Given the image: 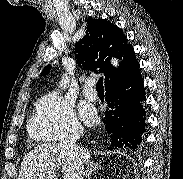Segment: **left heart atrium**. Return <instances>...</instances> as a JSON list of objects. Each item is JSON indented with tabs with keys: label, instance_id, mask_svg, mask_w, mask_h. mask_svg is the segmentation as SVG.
I'll return each instance as SVG.
<instances>
[{
	"label": "left heart atrium",
	"instance_id": "1",
	"mask_svg": "<svg viewBox=\"0 0 183 179\" xmlns=\"http://www.w3.org/2000/svg\"><path fill=\"white\" fill-rule=\"evenodd\" d=\"M80 115L86 124L94 123L97 117L94 107L87 103L80 106Z\"/></svg>",
	"mask_w": 183,
	"mask_h": 179
}]
</instances>
